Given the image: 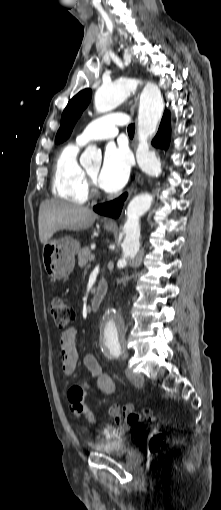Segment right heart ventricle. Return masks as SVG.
<instances>
[{
  "label": "right heart ventricle",
  "mask_w": 221,
  "mask_h": 510,
  "mask_svg": "<svg viewBox=\"0 0 221 510\" xmlns=\"http://www.w3.org/2000/svg\"><path fill=\"white\" fill-rule=\"evenodd\" d=\"M80 144L69 143L58 154L52 181V193L75 204H84L89 196L85 171L78 161Z\"/></svg>",
  "instance_id": "obj_1"
}]
</instances>
